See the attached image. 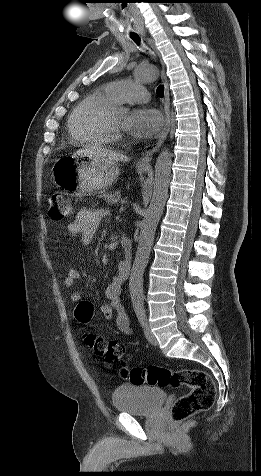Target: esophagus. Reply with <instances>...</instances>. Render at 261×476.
Wrapping results in <instances>:
<instances>
[{
	"label": "esophagus",
	"instance_id": "obj_1",
	"mask_svg": "<svg viewBox=\"0 0 261 476\" xmlns=\"http://www.w3.org/2000/svg\"><path fill=\"white\" fill-rule=\"evenodd\" d=\"M148 43L151 46V48L156 52V46L154 42L151 39H148ZM159 55V54H158ZM160 57V56H159ZM161 64H162V71H161V80L164 85V111H165V123L164 127L162 128L161 132L156 136L155 140L147 145L144 148V151L142 153V156L140 157L138 161L139 166H150L152 156L153 154L161 147L163 142L165 141L169 130H170V97H169V86H168V80L165 74V67L160 59Z\"/></svg>",
	"mask_w": 261,
	"mask_h": 476
}]
</instances>
